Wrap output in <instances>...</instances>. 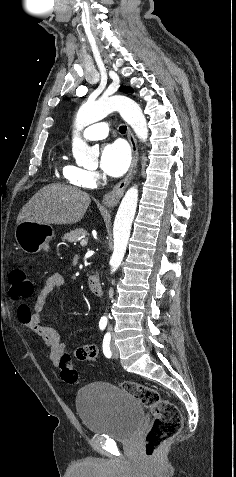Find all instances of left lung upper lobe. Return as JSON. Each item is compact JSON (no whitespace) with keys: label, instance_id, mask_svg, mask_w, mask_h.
Returning <instances> with one entry per match:
<instances>
[{"label":"left lung upper lobe","instance_id":"5c2ea615","mask_svg":"<svg viewBox=\"0 0 236 477\" xmlns=\"http://www.w3.org/2000/svg\"><path fill=\"white\" fill-rule=\"evenodd\" d=\"M123 91L133 92L132 88H130V87H123Z\"/></svg>","mask_w":236,"mask_h":477}]
</instances>
